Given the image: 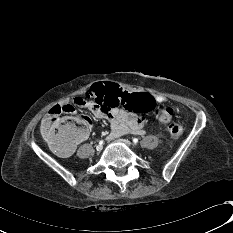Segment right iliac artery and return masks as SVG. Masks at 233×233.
Returning <instances> with one entry per match:
<instances>
[{
  "label": "right iliac artery",
  "mask_w": 233,
  "mask_h": 233,
  "mask_svg": "<svg viewBox=\"0 0 233 233\" xmlns=\"http://www.w3.org/2000/svg\"><path fill=\"white\" fill-rule=\"evenodd\" d=\"M99 144L102 145V144H103V141L101 140V141L99 142Z\"/></svg>",
  "instance_id": "82829eb1"
}]
</instances>
